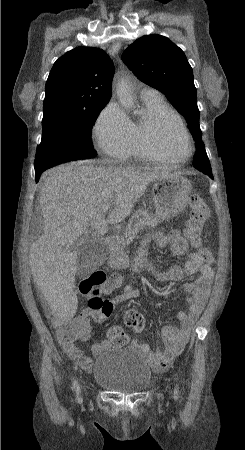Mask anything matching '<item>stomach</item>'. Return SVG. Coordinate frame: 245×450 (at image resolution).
Here are the masks:
<instances>
[{
	"instance_id": "stomach-1",
	"label": "stomach",
	"mask_w": 245,
	"mask_h": 450,
	"mask_svg": "<svg viewBox=\"0 0 245 450\" xmlns=\"http://www.w3.org/2000/svg\"><path fill=\"white\" fill-rule=\"evenodd\" d=\"M192 190L191 182L181 175H168L154 180L152 197L156 215L160 220L176 217L186 207ZM109 262L115 268H125L129 258L122 248L111 251Z\"/></svg>"
}]
</instances>
